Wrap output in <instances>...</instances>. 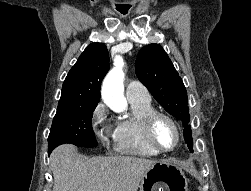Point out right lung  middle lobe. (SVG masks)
I'll use <instances>...</instances> for the list:
<instances>
[{"instance_id":"obj_1","label":"right lung middle lobe","mask_w":251,"mask_h":191,"mask_svg":"<svg viewBox=\"0 0 251 191\" xmlns=\"http://www.w3.org/2000/svg\"><path fill=\"white\" fill-rule=\"evenodd\" d=\"M97 104L58 108L48 137V154L58 145H98L92 129V116Z\"/></svg>"}]
</instances>
